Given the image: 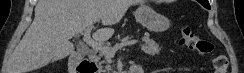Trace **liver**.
<instances>
[{
  "label": "liver",
  "mask_w": 244,
  "mask_h": 73,
  "mask_svg": "<svg viewBox=\"0 0 244 73\" xmlns=\"http://www.w3.org/2000/svg\"><path fill=\"white\" fill-rule=\"evenodd\" d=\"M138 0H39L35 18L8 64V73H29L74 53L70 39L101 20L118 23ZM114 29L101 28L93 34L98 41L112 37Z\"/></svg>",
  "instance_id": "6515ba94"
}]
</instances>
